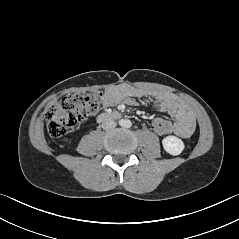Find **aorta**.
Returning a JSON list of instances; mask_svg holds the SVG:
<instances>
[{
    "mask_svg": "<svg viewBox=\"0 0 239 239\" xmlns=\"http://www.w3.org/2000/svg\"><path fill=\"white\" fill-rule=\"evenodd\" d=\"M120 125H121L122 127H127V128H129V127L131 126V121H130V120H122L121 123H120Z\"/></svg>",
    "mask_w": 239,
    "mask_h": 239,
    "instance_id": "aorta-1",
    "label": "aorta"
}]
</instances>
